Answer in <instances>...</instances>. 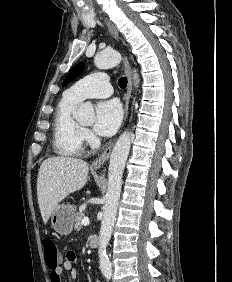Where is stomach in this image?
Masks as SVG:
<instances>
[{"label":"stomach","mask_w":232,"mask_h":282,"mask_svg":"<svg viewBox=\"0 0 232 282\" xmlns=\"http://www.w3.org/2000/svg\"><path fill=\"white\" fill-rule=\"evenodd\" d=\"M76 208L71 204H58L51 214V226L60 235H69L73 229Z\"/></svg>","instance_id":"stomach-1"}]
</instances>
